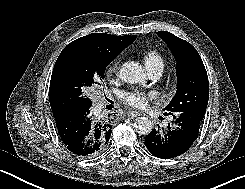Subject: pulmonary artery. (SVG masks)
<instances>
[{"instance_id": "e3ab8cb5", "label": "pulmonary artery", "mask_w": 245, "mask_h": 189, "mask_svg": "<svg viewBox=\"0 0 245 189\" xmlns=\"http://www.w3.org/2000/svg\"><path fill=\"white\" fill-rule=\"evenodd\" d=\"M162 70L158 68L150 69L149 74L152 78H157L160 76Z\"/></svg>"}]
</instances>
